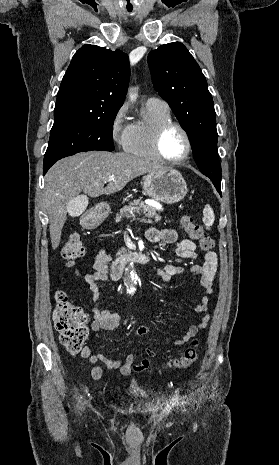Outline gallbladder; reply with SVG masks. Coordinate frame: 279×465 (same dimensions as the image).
I'll use <instances>...</instances> for the list:
<instances>
[{
    "label": "gallbladder",
    "mask_w": 279,
    "mask_h": 465,
    "mask_svg": "<svg viewBox=\"0 0 279 465\" xmlns=\"http://www.w3.org/2000/svg\"><path fill=\"white\" fill-rule=\"evenodd\" d=\"M68 209L71 217L80 216L85 210V199L83 196L73 198L68 204Z\"/></svg>",
    "instance_id": "gallbladder-1"
}]
</instances>
